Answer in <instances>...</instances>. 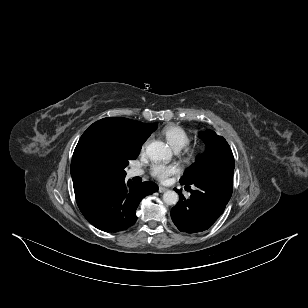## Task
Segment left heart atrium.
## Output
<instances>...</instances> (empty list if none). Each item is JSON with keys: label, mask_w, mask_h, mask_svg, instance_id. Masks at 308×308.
I'll return each mask as SVG.
<instances>
[{"label": "left heart atrium", "mask_w": 308, "mask_h": 308, "mask_svg": "<svg viewBox=\"0 0 308 308\" xmlns=\"http://www.w3.org/2000/svg\"><path fill=\"white\" fill-rule=\"evenodd\" d=\"M179 171L180 168L176 164H154L151 168L152 176L161 182H166L170 176L177 174Z\"/></svg>", "instance_id": "1"}]
</instances>
